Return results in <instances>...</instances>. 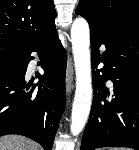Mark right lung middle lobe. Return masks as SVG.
I'll return each mask as SVG.
<instances>
[{
    "label": "right lung middle lobe",
    "instance_id": "dd1d6c3e",
    "mask_svg": "<svg viewBox=\"0 0 139 150\" xmlns=\"http://www.w3.org/2000/svg\"><path fill=\"white\" fill-rule=\"evenodd\" d=\"M19 49L8 45H0V57L14 55L18 53Z\"/></svg>",
    "mask_w": 139,
    "mask_h": 150
}]
</instances>
